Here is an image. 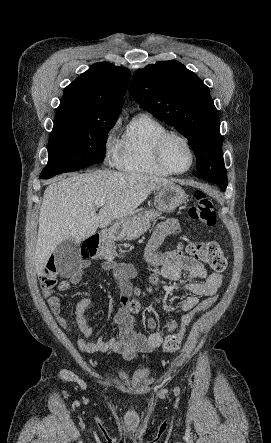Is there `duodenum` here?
Listing matches in <instances>:
<instances>
[{
    "label": "duodenum",
    "instance_id": "obj_1",
    "mask_svg": "<svg viewBox=\"0 0 271 443\" xmlns=\"http://www.w3.org/2000/svg\"><path fill=\"white\" fill-rule=\"evenodd\" d=\"M100 235H101L102 238L109 239V238H112L114 236V233L110 229H104V230L101 231Z\"/></svg>",
    "mask_w": 271,
    "mask_h": 443
}]
</instances>
